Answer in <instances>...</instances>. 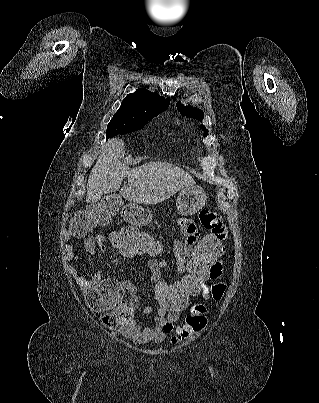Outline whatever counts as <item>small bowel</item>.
<instances>
[{
	"label": "small bowel",
	"instance_id": "obj_1",
	"mask_svg": "<svg viewBox=\"0 0 319 403\" xmlns=\"http://www.w3.org/2000/svg\"><path fill=\"white\" fill-rule=\"evenodd\" d=\"M180 226L186 239L174 245V256L178 271L182 274L185 267V259L189 258L188 251L183 248H190L192 242H198L199 234L197 227L192 220L181 219ZM145 234V233H142ZM207 238V237H206ZM88 249H103L107 243H103L101 235H90L86 242ZM68 258L84 265V261L72 252L70 244L66 247ZM186 255V257H184ZM151 271V282H156L161 276L162 268H149ZM70 275L76 280L85 294L89 309H101L102 324L109 329L110 335H123L135 343L149 341L162 342L172 332L174 323L179 319L180 313H156L152 307H145V315L153 314V326H140L135 318V309L140 306L137 295V287L130 279H102L103 272L98 270L90 280L81 276L72 266H68ZM210 280L212 283H222L223 268L213 263L210 268ZM177 282V281H175ZM126 293L128 295H126ZM177 333V331H176Z\"/></svg>",
	"mask_w": 319,
	"mask_h": 403
}]
</instances>
